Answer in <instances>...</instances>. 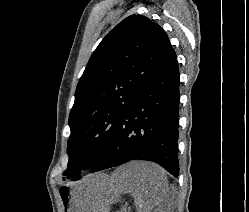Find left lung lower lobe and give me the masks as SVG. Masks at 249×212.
Returning <instances> with one entry per match:
<instances>
[{
    "label": "left lung lower lobe",
    "instance_id": "0a47b994",
    "mask_svg": "<svg viewBox=\"0 0 249 212\" xmlns=\"http://www.w3.org/2000/svg\"><path fill=\"white\" fill-rule=\"evenodd\" d=\"M179 84L177 58L171 47L131 100L116 124L110 147L91 172L131 160H147L177 177Z\"/></svg>",
    "mask_w": 249,
    "mask_h": 212
}]
</instances>
